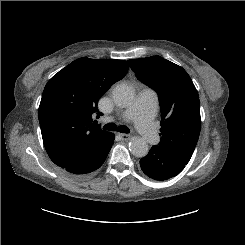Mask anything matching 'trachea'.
Returning a JSON list of instances; mask_svg holds the SVG:
<instances>
[{
	"instance_id": "trachea-1",
	"label": "trachea",
	"mask_w": 245,
	"mask_h": 245,
	"mask_svg": "<svg viewBox=\"0 0 245 245\" xmlns=\"http://www.w3.org/2000/svg\"><path fill=\"white\" fill-rule=\"evenodd\" d=\"M103 128L105 130H108V131H118V132H121V133H129L130 132V130L127 127H125V126H117L114 123H108V124L104 125Z\"/></svg>"
}]
</instances>
